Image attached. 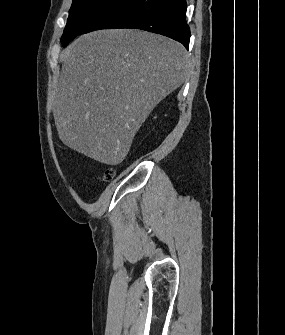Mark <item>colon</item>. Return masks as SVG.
Returning a JSON list of instances; mask_svg holds the SVG:
<instances>
[{
    "mask_svg": "<svg viewBox=\"0 0 285 335\" xmlns=\"http://www.w3.org/2000/svg\"><path fill=\"white\" fill-rule=\"evenodd\" d=\"M112 176H113V171L112 170H107L104 174V179L109 180V179L112 178Z\"/></svg>",
    "mask_w": 285,
    "mask_h": 335,
    "instance_id": "colon-1",
    "label": "colon"
}]
</instances>
